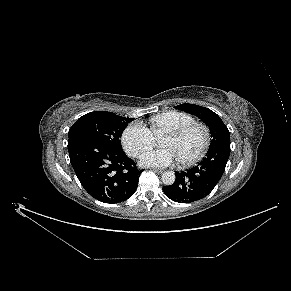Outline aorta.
Masks as SVG:
<instances>
[{"label":"aorta","mask_w":291,"mask_h":291,"mask_svg":"<svg viewBox=\"0 0 291 291\" xmlns=\"http://www.w3.org/2000/svg\"><path fill=\"white\" fill-rule=\"evenodd\" d=\"M175 173L173 171H166L162 174L161 179L165 185H172L175 182Z\"/></svg>","instance_id":"obj_1"}]
</instances>
